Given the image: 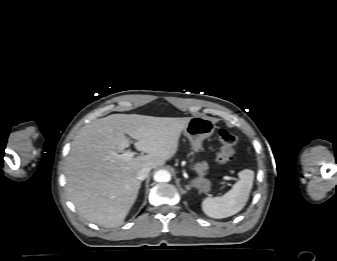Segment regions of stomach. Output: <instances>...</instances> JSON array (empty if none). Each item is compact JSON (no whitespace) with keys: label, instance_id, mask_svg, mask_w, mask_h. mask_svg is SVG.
<instances>
[{"label":"stomach","instance_id":"0dacf381","mask_svg":"<svg viewBox=\"0 0 337 261\" xmlns=\"http://www.w3.org/2000/svg\"><path fill=\"white\" fill-rule=\"evenodd\" d=\"M215 130L212 119L208 117H192L184 132L189 139L193 151L199 153L203 150L202 142L210 137ZM190 185L201 193H209L212 190V182L205 176L204 171H198V176L190 181Z\"/></svg>","mask_w":337,"mask_h":261}]
</instances>
